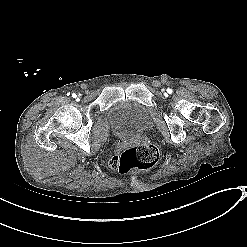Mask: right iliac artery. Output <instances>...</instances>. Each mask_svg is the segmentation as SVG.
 I'll return each instance as SVG.
<instances>
[{
  "mask_svg": "<svg viewBox=\"0 0 247 247\" xmlns=\"http://www.w3.org/2000/svg\"><path fill=\"white\" fill-rule=\"evenodd\" d=\"M72 97H73V98H76V97H77V95H76L75 93H73V94H72Z\"/></svg>",
  "mask_w": 247,
  "mask_h": 247,
  "instance_id": "obj_1",
  "label": "right iliac artery"
}]
</instances>
